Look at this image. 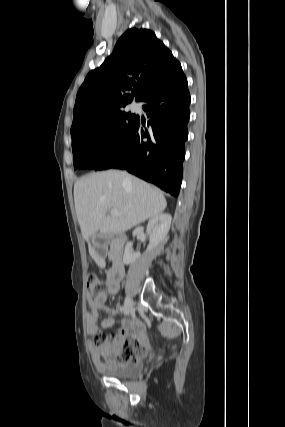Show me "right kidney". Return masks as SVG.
Returning <instances> with one entry per match:
<instances>
[{
  "label": "right kidney",
  "mask_w": 285,
  "mask_h": 427,
  "mask_svg": "<svg viewBox=\"0 0 285 427\" xmlns=\"http://www.w3.org/2000/svg\"><path fill=\"white\" fill-rule=\"evenodd\" d=\"M171 221L172 217L167 213L159 214L149 220L146 231L149 235L150 243L147 247V251H152L164 242L169 232ZM138 232V230L134 231L133 236L138 235ZM139 257L140 253H134L132 249V243H128L125 246L123 263L125 265H130L134 263Z\"/></svg>",
  "instance_id": "1"
}]
</instances>
